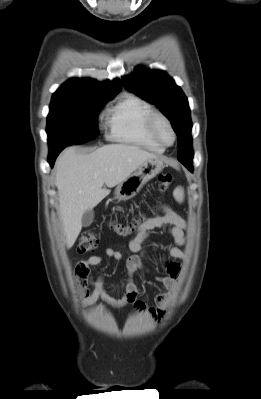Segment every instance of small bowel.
<instances>
[{"label": "small bowel", "instance_id": "small-bowel-1", "mask_svg": "<svg viewBox=\"0 0 261 399\" xmlns=\"http://www.w3.org/2000/svg\"><path fill=\"white\" fill-rule=\"evenodd\" d=\"M165 226H168V234L176 245L167 248L168 257L161 261L166 274L155 278L167 291L156 295L154 299L156 306L150 307L138 298L140 290L134 278L139 272L145 271L143 266L144 242L155 229ZM184 229L185 222L182 217L170 207L164 206L160 214L147 219L130 239L128 247L132 254L124 255L119 250L106 248L105 255L108 258L125 263L128 278L124 283L125 293L120 298L112 297L106 292L107 287H116L118 284L107 282L103 276H99L97 279L92 278L91 267L100 265L104 260L103 256L92 255L79 261L75 268V279L82 304L91 306L96 304L99 299L113 307H122L127 303H132L138 313L146 314L154 321L162 320L168 303L176 294L182 272V262L186 259V255L181 249L185 244ZM90 284L93 287L92 291L89 289ZM98 311H104L103 304L98 306Z\"/></svg>", "mask_w": 261, "mask_h": 399}]
</instances>
